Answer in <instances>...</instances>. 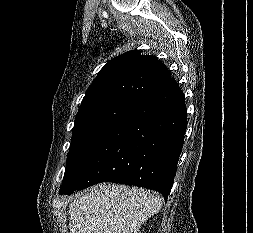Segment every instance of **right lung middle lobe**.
I'll use <instances>...</instances> for the list:
<instances>
[{
	"label": "right lung middle lobe",
	"instance_id": "dd1d6c3e",
	"mask_svg": "<svg viewBox=\"0 0 253 233\" xmlns=\"http://www.w3.org/2000/svg\"><path fill=\"white\" fill-rule=\"evenodd\" d=\"M134 100L111 98L79 108L72 131L63 180L69 176L87 153L120 121Z\"/></svg>",
	"mask_w": 253,
	"mask_h": 233
}]
</instances>
